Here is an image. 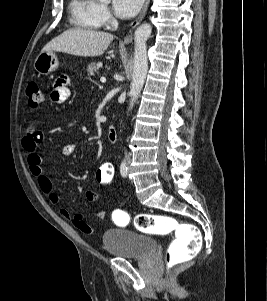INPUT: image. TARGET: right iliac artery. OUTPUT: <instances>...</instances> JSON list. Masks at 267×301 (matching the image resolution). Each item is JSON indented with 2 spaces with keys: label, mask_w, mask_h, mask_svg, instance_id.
Listing matches in <instances>:
<instances>
[{
  "label": "right iliac artery",
  "mask_w": 267,
  "mask_h": 301,
  "mask_svg": "<svg viewBox=\"0 0 267 301\" xmlns=\"http://www.w3.org/2000/svg\"><path fill=\"white\" fill-rule=\"evenodd\" d=\"M120 173L122 175V177H126L127 174H128V168H127V165L125 162L121 163V166H120Z\"/></svg>",
  "instance_id": "obj_1"
}]
</instances>
